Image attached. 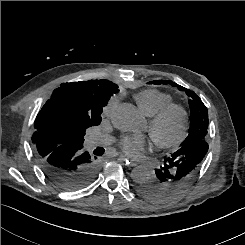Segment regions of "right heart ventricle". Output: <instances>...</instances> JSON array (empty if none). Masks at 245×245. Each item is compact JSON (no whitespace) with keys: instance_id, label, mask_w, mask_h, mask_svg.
Returning a JSON list of instances; mask_svg holds the SVG:
<instances>
[{"instance_id":"1","label":"right heart ventricle","mask_w":245,"mask_h":245,"mask_svg":"<svg viewBox=\"0 0 245 245\" xmlns=\"http://www.w3.org/2000/svg\"><path fill=\"white\" fill-rule=\"evenodd\" d=\"M135 100L141 111L152 117L173 102V97L156 89H148L138 93Z\"/></svg>"}]
</instances>
